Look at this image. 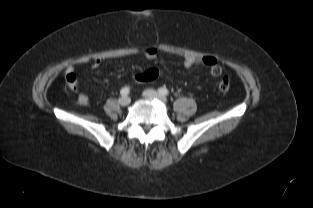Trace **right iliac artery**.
Instances as JSON below:
<instances>
[{"label":"right iliac artery","mask_w":313,"mask_h":208,"mask_svg":"<svg viewBox=\"0 0 313 208\" xmlns=\"http://www.w3.org/2000/svg\"><path fill=\"white\" fill-rule=\"evenodd\" d=\"M129 92H130V89L128 87H124L121 89L120 94L122 96H127L129 94Z\"/></svg>","instance_id":"obj_1"}]
</instances>
